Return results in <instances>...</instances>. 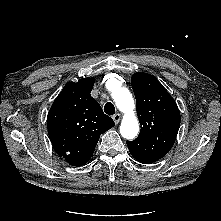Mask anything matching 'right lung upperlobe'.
I'll return each mask as SVG.
<instances>
[{
	"label": "right lung upper lobe",
	"mask_w": 221,
	"mask_h": 221,
	"mask_svg": "<svg viewBox=\"0 0 221 221\" xmlns=\"http://www.w3.org/2000/svg\"><path fill=\"white\" fill-rule=\"evenodd\" d=\"M94 78L64 86L47 116V129L55 152L74 166L87 163L101 134L115 123L91 97Z\"/></svg>",
	"instance_id": "cb5924a9"
}]
</instances>
